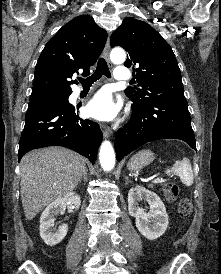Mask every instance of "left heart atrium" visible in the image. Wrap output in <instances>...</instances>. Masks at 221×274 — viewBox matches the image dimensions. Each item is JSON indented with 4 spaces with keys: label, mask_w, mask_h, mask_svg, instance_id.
Returning a JSON list of instances; mask_svg holds the SVG:
<instances>
[{
    "label": "left heart atrium",
    "mask_w": 221,
    "mask_h": 274,
    "mask_svg": "<svg viewBox=\"0 0 221 274\" xmlns=\"http://www.w3.org/2000/svg\"><path fill=\"white\" fill-rule=\"evenodd\" d=\"M120 109L108 91H100L88 103L86 113L88 116L97 120H112Z\"/></svg>",
    "instance_id": "obj_1"
}]
</instances>
